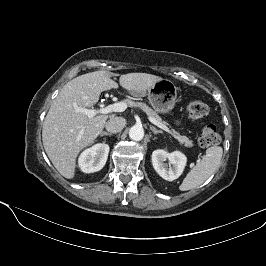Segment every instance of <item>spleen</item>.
<instances>
[{"mask_svg": "<svg viewBox=\"0 0 266 266\" xmlns=\"http://www.w3.org/2000/svg\"><path fill=\"white\" fill-rule=\"evenodd\" d=\"M223 149L212 146L205 155L189 171L179 186V190L188 191L203 184L218 168L221 162Z\"/></svg>", "mask_w": 266, "mask_h": 266, "instance_id": "3e777b00", "label": "spleen"}]
</instances>
